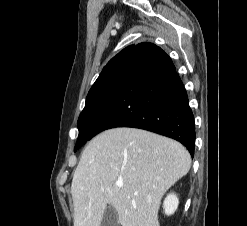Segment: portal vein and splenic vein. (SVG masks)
Listing matches in <instances>:
<instances>
[{
    "instance_id": "18ae733b",
    "label": "portal vein and splenic vein",
    "mask_w": 247,
    "mask_h": 226,
    "mask_svg": "<svg viewBox=\"0 0 247 226\" xmlns=\"http://www.w3.org/2000/svg\"><path fill=\"white\" fill-rule=\"evenodd\" d=\"M116 186L121 188V187H123V183H117Z\"/></svg>"
}]
</instances>
